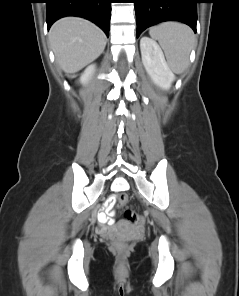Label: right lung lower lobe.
<instances>
[{
  "label": "right lung lower lobe",
  "mask_w": 239,
  "mask_h": 296,
  "mask_svg": "<svg viewBox=\"0 0 239 296\" xmlns=\"http://www.w3.org/2000/svg\"><path fill=\"white\" fill-rule=\"evenodd\" d=\"M48 29L59 18L79 16L97 24L107 36L112 0H45Z\"/></svg>",
  "instance_id": "obj_1"
}]
</instances>
